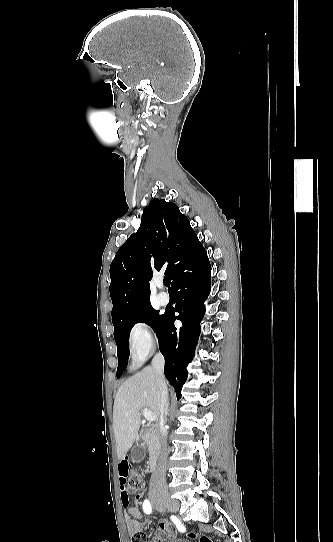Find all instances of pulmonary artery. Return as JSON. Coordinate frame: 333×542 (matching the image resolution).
<instances>
[{
  "instance_id": "pulmonary-artery-1",
  "label": "pulmonary artery",
  "mask_w": 333,
  "mask_h": 542,
  "mask_svg": "<svg viewBox=\"0 0 333 542\" xmlns=\"http://www.w3.org/2000/svg\"><path fill=\"white\" fill-rule=\"evenodd\" d=\"M158 291L163 292V291H164V288H160ZM161 304H162V305H167V304H168V301H166V300H161Z\"/></svg>"
}]
</instances>
